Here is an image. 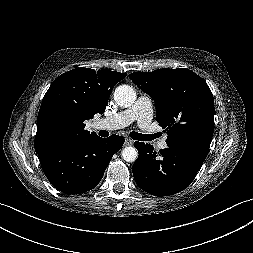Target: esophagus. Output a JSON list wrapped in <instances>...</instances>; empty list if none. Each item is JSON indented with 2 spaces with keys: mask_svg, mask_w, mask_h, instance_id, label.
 Instances as JSON below:
<instances>
[{
  "mask_svg": "<svg viewBox=\"0 0 253 253\" xmlns=\"http://www.w3.org/2000/svg\"><path fill=\"white\" fill-rule=\"evenodd\" d=\"M133 144V140L130 138H125V145L126 146H131Z\"/></svg>",
  "mask_w": 253,
  "mask_h": 253,
  "instance_id": "34e87169",
  "label": "esophagus"
}]
</instances>
